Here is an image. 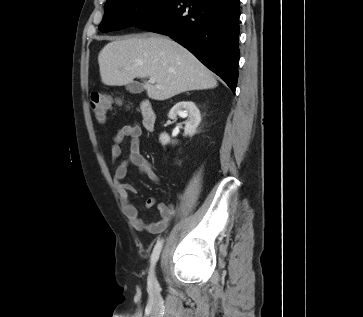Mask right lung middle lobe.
I'll list each match as a JSON object with an SVG mask.
<instances>
[{
	"label": "right lung middle lobe",
	"instance_id": "dd1d6c3e",
	"mask_svg": "<svg viewBox=\"0 0 363 317\" xmlns=\"http://www.w3.org/2000/svg\"><path fill=\"white\" fill-rule=\"evenodd\" d=\"M176 0H107L101 32L136 26L170 8Z\"/></svg>",
	"mask_w": 363,
	"mask_h": 317
}]
</instances>
